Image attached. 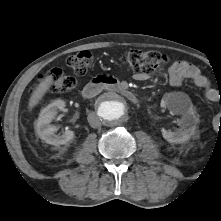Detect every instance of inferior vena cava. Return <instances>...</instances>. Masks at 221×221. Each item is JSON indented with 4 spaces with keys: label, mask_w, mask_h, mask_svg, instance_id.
Wrapping results in <instances>:
<instances>
[{
    "label": "inferior vena cava",
    "mask_w": 221,
    "mask_h": 221,
    "mask_svg": "<svg viewBox=\"0 0 221 221\" xmlns=\"http://www.w3.org/2000/svg\"><path fill=\"white\" fill-rule=\"evenodd\" d=\"M87 119H88L90 126L93 128H98L101 125L99 117L94 112H91L88 115Z\"/></svg>",
    "instance_id": "obj_1"
}]
</instances>
